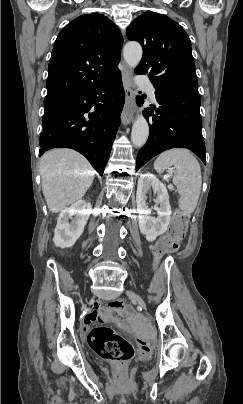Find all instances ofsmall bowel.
<instances>
[{"label":"small bowel","instance_id":"small-bowel-1","mask_svg":"<svg viewBox=\"0 0 243 404\" xmlns=\"http://www.w3.org/2000/svg\"><path fill=\"white\" fill-rule=\"evenodd\" d=\"M99 309H100V305L98 303H96L93 306L92 310L84 316L83 321H82V326H83L84 332L88 331L89 326L93 322L101 320V315L99 313Z\"/></svg>","mask_w":243,"mask_h":404}]
</instances>
